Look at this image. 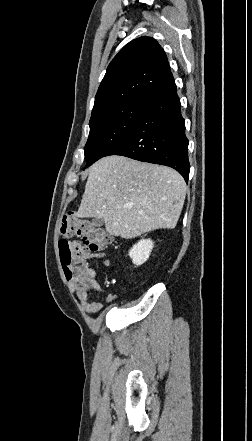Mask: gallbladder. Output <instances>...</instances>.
I'll list each match as a JSON object with an SVG mask.
<instances>
[{"label": "gallbladder", "instance_id": "gallbladder-1", "mask_svg": "<svg viewBox=\"0 0 252 441\" xmlns=\"http://www.w3.org/2000/svg\"><path fill=\"white\" fill-rule=\"evenodd\" d=\"M104 224V220L102 218H94L92 220V225L95 227H100Z\"/></svg>", "mask_w": 252, "mask_h": 441}]
</instances>
